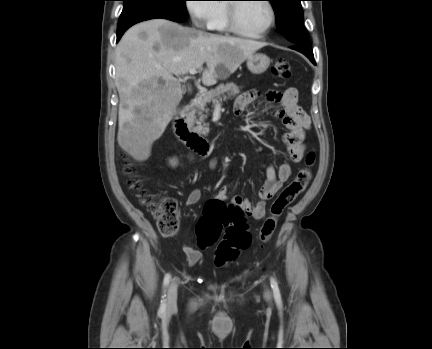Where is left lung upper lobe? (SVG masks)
I'll list each match as a JSON object with an SVG mask.
<instances>
[{
	"instance_id": "1",
	"label": "left lung upper lobe",
	"mask_w": 432,
	"mask_h": 349,
	"mask_svg": "<svg viewBox=\"0 0 432 349\" xmlns=\"http://www.w3.org/2000/svg\"><path fill=\"white\" fill-rule=\"evenodd\" d=\"M273 6L278 31L295 45L311 46L303 27L301 0H268Z\"/></svg>"
}]
</instances>
